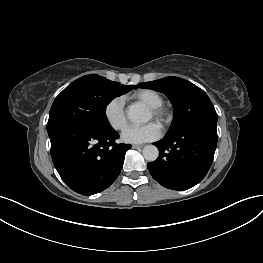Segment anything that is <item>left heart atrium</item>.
Segmentation results:
<instances>
[{"label":"left heart atrium","mask_w":263,"mask_h":263,"mask_svg":"<svg viewBox=\"0 0 263 263\" xmlns=\"http://www.w3.org/2000/svg\"><path fill=\"white\" fill-rule=\"evenodd\" d=\"M161 135V127L155 122H150L145 125H131L127 127L121 138L126 143L141 144L156 140Z\"/></svg>","instance_id":"39dd6f15"}]
</instances>
